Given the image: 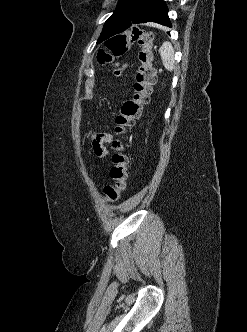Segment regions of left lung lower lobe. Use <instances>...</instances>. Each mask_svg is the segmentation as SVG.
Masks as SVG:
<instances>
[{
    "instance_id": "1",
    "label": "left lung lower lobe",
    "mask_w": 247,
    "mask_h": 332,
    "mask_svg": "<svg viewBox=\"0 0 247 332\" xmlns=\"http://www.w3.org/2000/svg\"><path fill=\"white\" fill-rule=\"evenodd\" d=\"M168 8L163 0H148L121 29H133L140 23L155 22L171 27Z\"/></svg>"
}]
</instances>
